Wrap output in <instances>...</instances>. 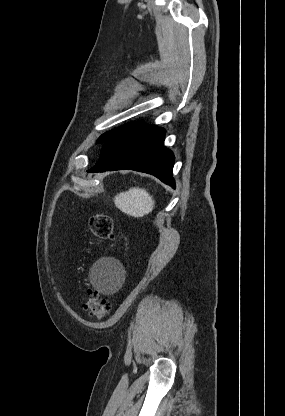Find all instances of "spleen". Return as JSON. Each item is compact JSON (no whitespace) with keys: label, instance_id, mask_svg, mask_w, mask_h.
Masks as SVG:
<instances>
[{"label":"spleen","instance_id":"3e777b00","mask_svg":"<svg viewBox=\"0 0 285 416\" xmlns=\"http://www.w3.org/2000/svg\"><path fill=\"white\" fill-rule=\"evenodd\" d=\"M114 204L118 210L133 216V218H143L154 210L155 202L143 188H130L128 192H121L114 198Z\"/></svg>","mask_w":285,"mask_h":416}]
</instances>
